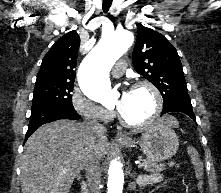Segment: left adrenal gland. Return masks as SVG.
I'll return each instance as SVG.
<instances>
[{
	"mask_svg": "<svg viewBox=\"0 0 221 193\" xmlns=\"http://www.w3.org/2000/svg\"><path fill=\"white\" fill-rule=\"evenodd\" d=\"M128 174H130V176L134 179L135 178V176H136V173H131V171L130 170H128Z\"/></svg>",
	"mask_w": 221,
	"mask_h": 193,
	"instance_id": "a2214340",
	"label": "left adrenal gland"
}]
</instances>
